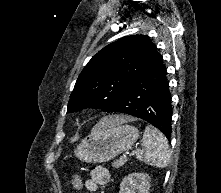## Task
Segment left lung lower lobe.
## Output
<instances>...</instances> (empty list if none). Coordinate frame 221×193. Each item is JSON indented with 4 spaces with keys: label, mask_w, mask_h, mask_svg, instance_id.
<instances>
[{
    "label": "left lung lower lobe",
    "mask_w": 221,
    "mask_h": 193,
    "mask_svg": "<svg viewBox=\"0 0 221 193\" xmlns=\"http://www.w3.org/2000/svg\"><path fill=\"white\" fill-rule=\"evenodd\" d=\"M171 93L162 57L129 86L125 95L108 113L119 112L141 118L171 136Z\"/></svg>",
    "instance_id": "0a47b994"
}]
</instances>
